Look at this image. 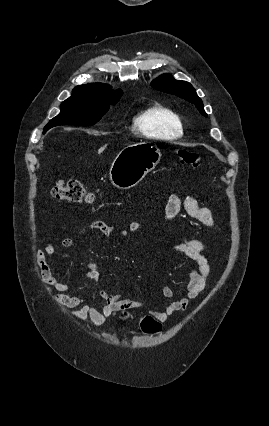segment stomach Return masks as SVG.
<instances>
[{"instance_id":"1","label":"stomach","mask_w":269,"mask_h":426,"mask_svg":"<svg viewBox=\"0 0 269 426\" xmlns=\"http://www.w3.org/2000/svg\"><path fill=\"white\" fill-rule=\"evenodd\" d=\"M160 158V150L150 143L140 142L127 146L111 165L109 171L111 183L122 190L136 186L156 167Z\"/></svg>"}]
</instances>
